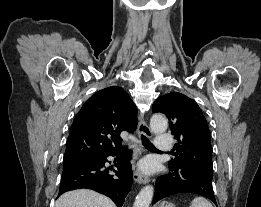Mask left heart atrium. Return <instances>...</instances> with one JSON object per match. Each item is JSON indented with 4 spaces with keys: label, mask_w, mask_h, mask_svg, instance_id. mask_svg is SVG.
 Instances as JSON below:
<instances>
[{
    "label": "left heart atrium",
    "mask_w": 261,
    "mask_h": 207,
    "mask_svg": "<svg viewBox=\"0 0 261 207\" xmlns=\"http://www.w3.org/2000/svg\"><path fill=\"white\" fill-rule=\"evenodd\" d=\"M140 169L145 173H150L154 169V163L151 160H145L141 163Z\"/></svg>",
    "instance_id": "1"
}]
</instances>
